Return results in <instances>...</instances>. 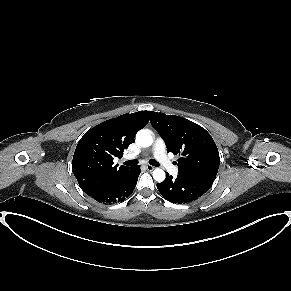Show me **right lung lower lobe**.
<instances>
[{"label": "right lung lower lobe", "instance_id": "right-lung-lower-lobe-1", "mask_svg": "<svg viewBox=\"0 0 291 291\" xmlns=\"http://www.w3.org/2000/svg\"><path fill=\"white\" fill-rule=\"evenodd\" d=\"M140 173L139 165L131 167L109 186L91 195V197L104 204L122 202L132 194Z\"/></svg>", "mask_w": 291, "mask_h": 291}]
</instances>
